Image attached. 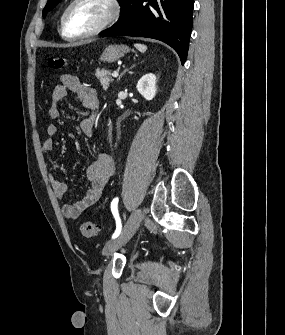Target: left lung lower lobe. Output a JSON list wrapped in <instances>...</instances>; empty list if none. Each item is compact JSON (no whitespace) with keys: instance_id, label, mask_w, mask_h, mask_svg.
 <instances>
[{"instance_id":"1","label":"left lung lower lobe","mask_w":285,"mask_h":335,"mask_svg":"<svg viewBox=\"0 0 285 335\" xmlns=\"http://www.w3.org/2000/svg\"><path fill=\"white\" fill-rule=\"evenodd\" d=\"M121 16L103 37L133 36L171 46L184 64L192 29L194 0H123Z\"/></svg>"}]
</instances>
